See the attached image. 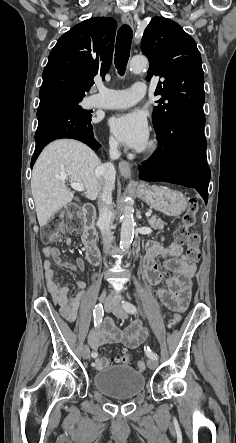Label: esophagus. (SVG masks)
I'll use <instances>...</instances> for the list:
<instances>
[{
  "mask_svg": "<svg viewBox=\"0 0 236 443\" xmlns=\"http://www.w3.org/2000/svg\"><path fill=\"white\" fill-rule=\"evenodd\" d=\"M122 21H123V23L133 27V18L129 12H124L122 14ZM118 169H119L120 174L124 178H126V179L131 178V167L127 161L121 160L118 163ZM132 182H134V181H132Z\"/></svg>",
  "mask_w": 236,
  "mask_h": 443,
  "instance_id": "esophagus-1",
  "label": "esophagus"
}]
</instances>
